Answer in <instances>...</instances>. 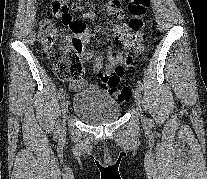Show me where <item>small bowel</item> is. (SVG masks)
<instances>
[{"label": "small bowel", "mask_w": 207, "mask_h": 179, "mask_svg": "<svg viewBox=\"0 0 207 179\" xmlns=\"http://www.w3.org/2000/svg\"><path fill=\"white\" fill-rule=\"evenodd\" d=\"M105 12L108 15H114L116 17H122L124 12L122 9V0H112L111 3L105 7ZM56 17L62 19L59 13H54ZM96 16L94 12H87L82 15V18L92 19ZM64 20V19H62ZM71 28L76 33L73 41L76 44V48L82 55L83 60L87 64H92V68L95 73L104 65V58L102 55L94 52H90L86 49V46L91 42L93 35L91 31L84 26L81 20H74L70 23ZM115 40L122 44L125 48L131 46L129 42V27L126 24H118L114 27ZM124 63V52L119 51L115 55L112 54V50H109V55L107 58V72L109 74L113 73L115 68ZM80 85H75L74 87H79Z\"/></svg>", "instance_id": "obj_1"}]
</instances>
